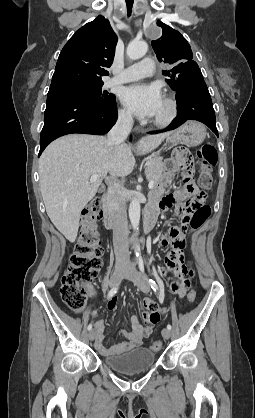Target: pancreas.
Masks as SVG:
<instances>
[{
  "label": "pancreas",
  "mask_w": 255,
  "mask_h": 418,
  "mask_svg": "<svg viewBox=\"0 0 255 418\" xmlns=\"http://www.w3.org/2000/svg\"><path fill=\"white\" fill-rule=\"evenodd\" d=\"M163 158L160 156L148 159L146 162L145 174L148 180H153L158 185L163 172Z\"/></svg>",
  "instance_id": "cf45deb5"
}]
</instances>
